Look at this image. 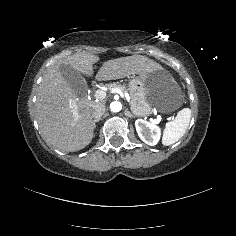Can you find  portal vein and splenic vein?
Listing matches in <instances>:
<instances>
[{
    "label": "portal vein and splenic vein",
    "mask_w": 236,
    "mask_h": 236,
    "mask_svg": "<svg viewBox=\"0 0 236 236\" xmlns=\"http://www.w3.org/2000/svg\"><path fill=\"white\" fill-rule=\"evenodd\" d=\"M111 92L118 93L122 99L125 98V95H124V93L122 92V90L120 88H112ZM106 96H107V93H106V91H103V90H98L95 93V97L97 98V100L105 99ZM70 110H71V113L73 115L74 120L77 121L78 118H79L77 106L76 105H70ZM157 119L161 120V115H157ZM170 119L174 120L175 116L171 115L170 117L169 116L165 117L166 121H169ZM71 126L74 127L75 124L73 123V124H71Z\"/></svg>",
    "instance_id": "obj_1"
}]
</instances>
